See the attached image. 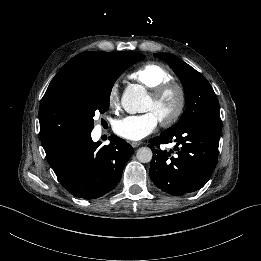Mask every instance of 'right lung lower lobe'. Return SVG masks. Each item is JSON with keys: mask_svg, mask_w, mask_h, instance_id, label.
Here are the masks:
<instances>
[{"mask_svg": "<svg viewBox=\"0 0 261 261\" xmlns=\"http://www.w3.org/2000/svg\"><path fill=\"white\" fill-rule=\"evenodd\" d=\"M110 144L99 148L91 133L69 139L47 155L62 186L73 196L96 199L110 192L119 182L133 148L111 135Z\"/></svg>", "mask_w": 261, "mask_h": 261, "instance_id": "right-lung-lower-lobe-1", "label": "right lung lower lobe"}]
</instances>
